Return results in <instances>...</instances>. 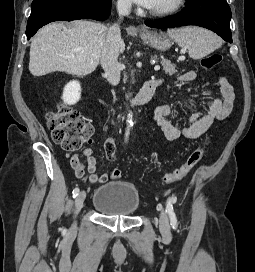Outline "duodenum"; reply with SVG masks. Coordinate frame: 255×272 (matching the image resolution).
<instances>
[{"label": "duodenum", "mask_w": 255, "mask_h": 272, "mask_svg": "<svg viewBox=\"0 0 255 272\" xmlns=\"http://www.w3.org/2000/svg\"><path fill=\"white\" fill-rule=\"evenodd\" d=\"M160 81L157 78L147 80L137 95L130 100L129 106L132 108L140 107L147 104L154 96Z\"/></svg>", "instance_id": "duodenum-1"}]
</instances>
